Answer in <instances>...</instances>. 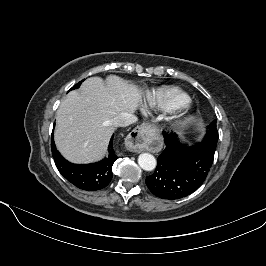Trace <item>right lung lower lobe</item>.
Segmentation results:
<instances>
[{
  "label": "right lung lower lobe",
  "instance_id": "98d812e1",
  "mask_svg": "<svg viewBox=\"0 0 266 266\" xmlns=\"http://www.w3.org/2000/svg\"><path fill=\"white\" fill-rule=\"evenodd\" d=\"M113 137L110 140L107 158L92 164H73L64 159L57 151L52 134L51 149L55 165L59 172L70 183L86 191L100 190L106 187L112 179V166L117 156L113 149Z\"/></svg>",
  "mask_w": 266,
  "mask_h": 266
}]
</instances>
